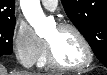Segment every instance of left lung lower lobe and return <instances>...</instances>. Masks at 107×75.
<instances>
[{
    "label": "left lung lower lobe",
    "instance_id": "left-lung-lower-lobe-1",
    "mask_svg": "<svg viewBox=\"0 0 107 75\" xmlns=\"http://www.w3.org/2000/svg\"><path fill=\"white\" fill-rule=\"evenodd\" d=\"M106 54H107V53L105 52L104 49H99L98 52H97V55H96L97 58H98L103 64L106 63L105 60H104V57H105Z\"/></svg>",
    "mask_w": 107,
    "mask_h": 75
}]
</instances>
